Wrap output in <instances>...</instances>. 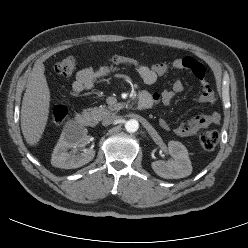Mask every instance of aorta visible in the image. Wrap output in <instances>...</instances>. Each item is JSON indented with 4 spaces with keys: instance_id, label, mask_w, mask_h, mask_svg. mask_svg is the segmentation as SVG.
Listing matches in <instances>:
<instances>
[{
    "instance_id": "1",
    "label": "aorta",
    "mask_w": 248,
    "mask_h": 248,
    "mask_svg": "<svg viewBox=\"0 0 248 248\" xmlns=\"http://www.w3.org/2000/svg\"><path fill=\"white\" fill-rule=\"evenodd\" d=\"M139 128V123L137 120L135 119H130L125 123V129L129 132V133H134L138 130Z\"/></svg>"
}]
</instances>
